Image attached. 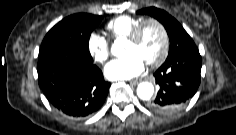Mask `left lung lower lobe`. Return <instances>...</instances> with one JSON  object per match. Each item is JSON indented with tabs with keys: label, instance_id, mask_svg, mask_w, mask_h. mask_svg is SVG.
Masks as SVG:
<instances>
[{
	"label": "left lung lower lobe",
	"instance_id": "0a47b994",
	"mask_svg": "<svg viewBox=\"0 0 236 135\" xmlns=\"http://www.w3.org/2000/svg\"><path fill=\"white\" fill-rule=\"evenodd\" d=\"M202 59L197 47L166 59L155 72L159 91L150 109L169 114L184 106L196 93L201 81Z\"/></svg>",
	"mask_w": 236,
	"mask_h": 135
}]
</instances>
